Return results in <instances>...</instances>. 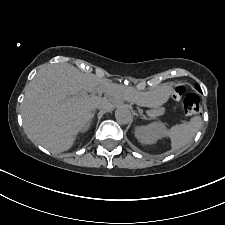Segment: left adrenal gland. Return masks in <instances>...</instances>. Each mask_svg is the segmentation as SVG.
Returning <instances> with one entry per match:
<instances>
[{
  "label": "left adrenal gland",
  "instance_id": "left-adrenal-gland-1",
  "mask_svg": "<svg viewBox=\"0 0 225 225\" xmlns=\"http://www.w3.org/2000/svg\"><path fill=\"white\" fill-rule=\"evenodd\" d=\"M142 116V119L144 120H149V118H147L144 114H140Z\"/></svg>",
  "mask_w": 225,
  "mask_h": 225
}]
</instances>
